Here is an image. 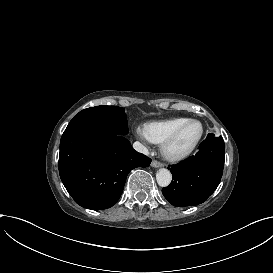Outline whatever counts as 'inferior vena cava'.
<instances>
[{
  "label": "inferior vena cava",
  "instance_id": "602c4592",
  "mask_svg": "<svg viewBox=\"0 0 273 273\" xmlns=\"http://www.w3.org/2000/svg\"><path fill=\"white\" fill-rule=\"evenodd\" d=\"M133 148L137 151V152H140V153H143L145 155H148L149 154V151L148 149L142 145L140 142H135L133 144Z\"/></svg>",
  "mask_w": 273,
  "mask_h": 273
}]
</instances>
